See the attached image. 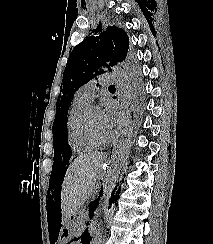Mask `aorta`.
Instances as JSON below:
<instances>
[{
  "mask_svg": "<svg viewBox=\"0 0 213 244\" xmlns=\"http://www.w3.org/2000/svg\"><path fill=\"white\" fill-rule=\"evenodd\" d=\"M114 75L117 77L116 88L119 101L117 130L113 142V149L110 159V172L103 186V196L99 204V212L104 217L107 214L111 194L115 188L118 179L121 176L125 163V153L130 143L133 126L131 121V100L132 88L124 70L119 66H113ZM103 228L98 226L96 235L93 238V244H102Z\"/></svg>",
  "mask_w": 213,
  "mask_h": 244,
  "instance_id": "762f6f07",
  "label": "aorta"
}]
</instances>
